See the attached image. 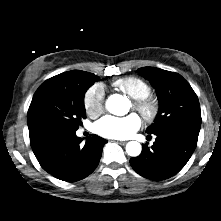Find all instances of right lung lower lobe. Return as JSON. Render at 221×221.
Returning <instances> with one entry per match:
<instances>
[{"label":"right lung lower lobe","instance_id":"1","mask_svg":"<svg viewBox=\"0 0 221 221\" xmlns=\"http://www.w3.org/2000/svg\"><path fill=\"white\" fill-rule=\"evenodd\" d=\"M76 131L45 135L32 150L41 167L55 178L74 182L90 175L98 166L107 140L92 134L82 146Z\"/></svg>","mask_w":221,"mask_h":221}]
</instances>
